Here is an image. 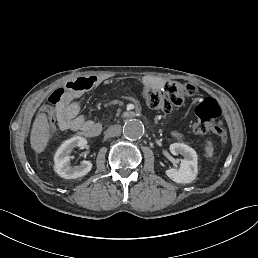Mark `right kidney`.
I'll return each instance as SVG.
<instances>
[{
    "mask_svg": "<svg viewBox=\"0 0 258 258\" xmlns=\"http://www.w3.org/2000/svg\"><path fill=\"white\" fill-rule=\"evenodd\" d=\"M87 140L81 136H74L66 140L58 148L54 156V170L62 178L75 179L86 175L92 168L90 161H82L79 166L70 165V153L75 147L85 148Z\"/></svg>",
    "mask_w": 258,
    "mask_h": 258,
    "instance_id": "ca27d5eb",
    "label": "right kidney"
}]
</instances>
